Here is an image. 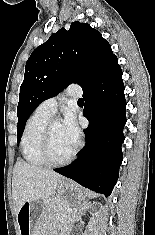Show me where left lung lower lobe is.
Segmentation results:
<instances>
[{
  "mask_svg": "<svg viewBox=\"0 0 155 235\" xmlns=\"http://www.w3.org/2000/svg\"><path fill=\"white\" fill-rule=\"evenodd\" d=\"M122 74L116 58L94 84L83 89V115L89 121L85 146L75 162L54 169L106 197L117 182L123 160L126 100Z\"/></svg>",
  "mask_w": 155,
  "mask_h": 235,
  "instance_id": "1",
  "label": "left lung lower lobe"
}]
</instances>
